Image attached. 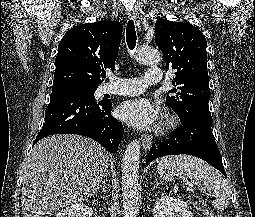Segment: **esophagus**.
I'll list each match as a JSON object with an SVG mask.
<instances>
[{
  "label": "esophagus",
  "mask_w": 255,
  "mask_h": 217,
  "mask_svg": "<svg viewBox=\"0 0 255 217\" xmlns=\"http://www.w3.org/2000/svg\"><path fill=\"white\" fill-rule=\"evenodd\" d=\"M128 16L130 19L134 20L135 25L137 30L140 32L141 31V23L139 20V15L138 12L136 10H130L128 12ZM141 140H142V146L145 150H149L153 144V137L152 135H148V134H143L141 136Z\"/></svg>",
  "instance_id": "obj_1"
}]
</instances>
